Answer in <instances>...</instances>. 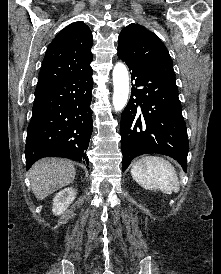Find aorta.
<instances>
[{"label": "aorta", "mask_w": 221, "mask_h": 274, "mask_svg": "<svg viewBox=\"0 0 221 274\" xmlns=\"http://www.w3.org/2000/svg\"><path fill=\"white\" fill-rule=\"evenodd\" d=\"M113 107L115 111H121L127 104L129 94V76L126 66L117 63L113 69Z\"/></svg>", "instance_id": "762f6f07"}]
</instances>
